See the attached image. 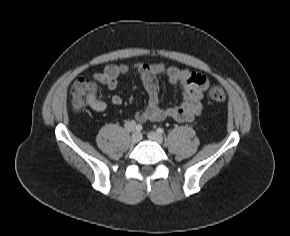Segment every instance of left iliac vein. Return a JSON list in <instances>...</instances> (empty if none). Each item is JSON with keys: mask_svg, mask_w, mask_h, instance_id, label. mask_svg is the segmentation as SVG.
Here are the masks:
<instances>
[{"mask_svg": "<svg viewBox=\"0 0 290 236\" xmlns=\"http://www.w3.org/2000/svg\"><path fill=\"white\" fill-rule=\"evenodd\" d=\"M148 138L154 142L161 144L163 142V137L161 134L155 131H150L148 133Z\"/></svg>", "mask_w": 290, "mask_h": 236, "instance_id": "1", "label": "left iliac vein"}]
</instances>
